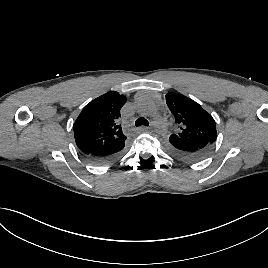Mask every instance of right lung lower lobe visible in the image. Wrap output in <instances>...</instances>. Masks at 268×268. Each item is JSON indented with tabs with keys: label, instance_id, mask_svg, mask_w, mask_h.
<instances>
[{
	"label": "right lung lower lobe",
	"instance_id": "1",
	"mask_svg": "<svg viewBox=\"0 0 268 268\" xmlns=\"http://www.w3.org/2000/svg\"><path fill=\"white\" fill-rule=\"evenodd\" d=\"M125 145L118 147V148H114L111 149L109 151L106 152H94V153H83V155L88 158L89 160L95 162V163H99V164H107L110 162H113L114 160H116L120 154L122 153V149L124 148Z\"/></svg>",
	"mask_w": 268,
	"mask_h": 268
}]
</instances>
